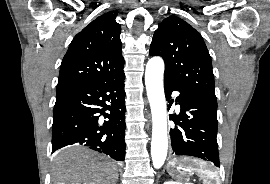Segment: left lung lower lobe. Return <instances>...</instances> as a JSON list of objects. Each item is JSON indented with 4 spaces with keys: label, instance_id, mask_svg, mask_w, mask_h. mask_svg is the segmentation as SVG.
<instances>
[{
    "label": "left lung lower lobe",
    "instance_id": "0a47b994",
    "mask_svg": "<svg viewBox=\"0 0 270 184\" xmlns=\"http://www.w3.org/2000/svg\"><path fill=\"white\" fill-rule=\"evenodd\" d=\"M164 89L167 100L171 98L173 91H178L179 96L176 102L181 106L178 117L169 115L170 119L180 127L175 126L170 130L172 154L200 158L220 167L216 139L217 107L204 100L189 87L165 75ZM172 102L173 100L170 104Z\"/></svg>",
    "mask_w": 270,
    "mask_h": 184
}]
</instances>
